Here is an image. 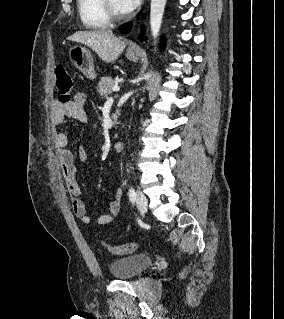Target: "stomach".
Returning <instances> with one entry per match:
<instances>
[{"label": "stomach", "mask_w": 284, "mask_h": 319, "mask_svg": "<svg viewBox=\"0 0 284 319\" xmlns=\"http://www.w3.org/2000/svg\"><path fill=\"white\" fill-rule=\"evenodd\" d=\"M127 58L130 61L137 62L139 55L127 53ZM69 57L73 65L86 77L94 79L96 73L94 71L93 57L88 49L80 45H75L69 50Z\"/></svg>", "instance_id": "obj_1"}]
</instances>
